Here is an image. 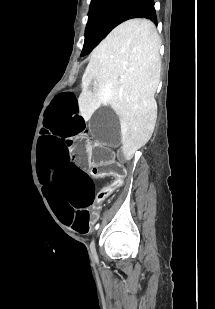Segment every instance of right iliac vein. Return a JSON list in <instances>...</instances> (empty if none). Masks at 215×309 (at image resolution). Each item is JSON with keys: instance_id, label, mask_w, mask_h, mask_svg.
<instances>
[{"instance_id": "63e3f726", "label": "right iliac vein", "mask_w": 215, "mask_h": 309, "mask_svg": "<svg viewBox=\"0 0 215 309\" xmlns=\"http://www.w3.org/2000/svg\"><path fill=\"white\" fill-rule=\"evenodd\" d=\"M90 249L92 253H95V243L94 240H92L91 244H90Z\"/></svg>"}]
</instances>
